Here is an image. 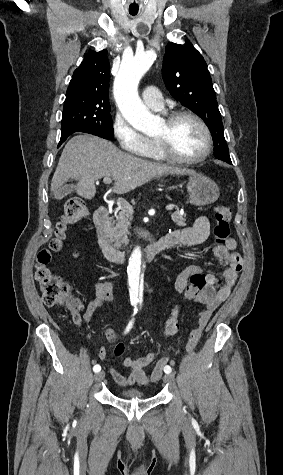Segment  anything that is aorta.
<instances>
[{
	"mask_svg": "<svg viewBox=\"0 0 283 475\" xmlns=\"http://www.w3.org/2000/svg\"><path fill=\"white\" fill-rule=\"evenodd\" d=\"M155 59L156 53L153 50L124 59L114 81V97L122 115L135 129L147 135L156 134L162 123L142 103L138 95V84ZM145 268L141 248L136 246L127 267L130 301L133 306L143 301Z\"/></svg>",
	"mask_w": 283,
	"mask_h": 475,
	"instance_id": "aorta-1",
	"label": "aorta"
}]
</instances>
